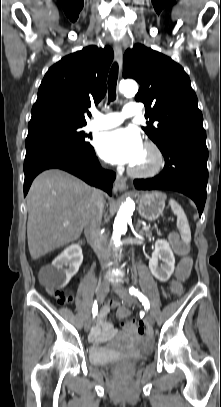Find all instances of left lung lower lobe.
Returning a JSON list of instances; mask_svg holds the SVG:
<instances>
[{"mask_svg":"<svg viewBox=\"0 0 221 407\" xmlns=\"http://www.w3.org/2000/svg\"><path fill=\"white\" fill-rule=\"evenodd\" d=\"M164 158L163 171L149 179L134 180L138 190L167 189L189 196L201 216L208 181L206 133L204 129L179 128L159 147Z\"/></svg>","mask_w":221,"mask_h":407,"instance_id":"obj_1","label":"left lung lower lobe"}]
</instances>
